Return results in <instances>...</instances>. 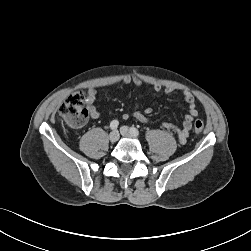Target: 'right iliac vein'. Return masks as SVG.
Returning <instances> with one entry per match:
<instances>
[{"label": "right iliac vein", "instance_id": "obj_1", "mask_svg": "<svg viewBox=\"0 0 251 251\" xmlns=\"http://www.w3.org/2000/svg\"><path fill=\"white\" fill-rule=\"evenodd\" d=\"M119 139V133L117 130H113L110 134H109V140L111 142H116Z\"/></svg>", "mask_w": 251, "mask_h": 251}]
</instances>
